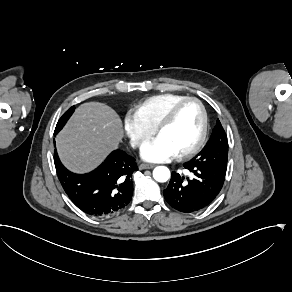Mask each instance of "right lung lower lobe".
I'll use <instances>...</instances> for the list:
<instances>
[{
	"label": "right lung lower lobe",
	"mask_w": 292,
	"mask_h": 292,
	"mask_svg": "<svg viewBox=\"0 0 292 292\" xmlns=\"http://www.w3.org/2000/svg\"><path fill=\"white\" fill-rule=\"evenodd\" d=\"M54 152L56 172L63 189L86 214L94 217L111 216L123 210L131 201V177L138 170L132 156L115 150L94 171L75 174L62 165L57 151Z\"/></svg>",
	"instance_id": "obj_1"
}]
</instances>
